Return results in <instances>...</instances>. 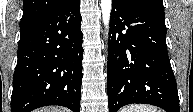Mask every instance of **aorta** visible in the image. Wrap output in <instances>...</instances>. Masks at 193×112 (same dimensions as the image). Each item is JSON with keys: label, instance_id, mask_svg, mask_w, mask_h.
Instances as JSON below:
<instances>
[{"label": "aorta", "instance_id": "aorta-1", "mask_svg": "<svg viewBox=\"0 0 193 112\" xmlns=\"http://www.w3.org/2000/svg\"><path fill=\"white\" fill-rule=\"evenodd\" d=\"M101 11H102V19L105 26V34L107 37L108 34V28H109V21H110V13H111V7H112V1L111 0H101Z\"/></svg>", "mask_w": 193, "mask_h": 112}]
</instances>
